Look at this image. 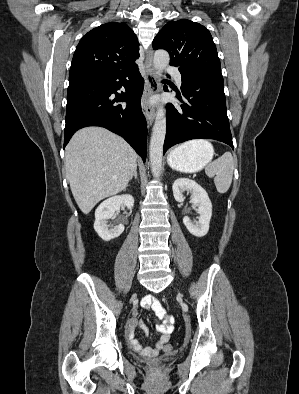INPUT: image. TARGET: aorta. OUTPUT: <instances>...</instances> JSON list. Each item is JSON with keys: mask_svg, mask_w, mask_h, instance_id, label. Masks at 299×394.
Wrapping results in <instances>:
<instances>
[{"mask_svg": "<svg viewBox=\"0 0 299 394\" xmlns=\"http://www.w3.org/2000/svg\"><path fill=\"white\" fill-rule=\"evenodd\" d=\"M169 54L165 50H157L154 54L153 66L157 75L161 76L163 70L169 64ZM166 135V112L162 105L158 106L155 123L149 147V160L152 174L159 178L162 171L163 145Z\"/></svg>", "mask_w": 299, "mask_h": 394, "instance_id": "obj_1", "label": "aorta"}]
</instances>
